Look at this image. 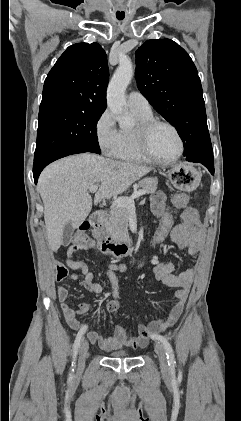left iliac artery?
I'll return each instance as SVG.
<instances>
[{"mask_svg":"<svg viewBox=\"0 0 241 421\" xmlns=\"http://www.w3.org/2000/svg\"><path fill=\"white\" fill-rule=\"evenodd\" d=\"M155 339L159 340L163 344L164 349L166 351V355H167L168 365L171 371H174V368L176 366V361H175V356H174V352H173L171 344L169 343L168 339L165 336L158 335L155 337Z\"/></svg>","mask_w":241,"mask_h":421,"instance_id":"left-iliac-artery-1","label":"left iliac artery"}]
</instances>
